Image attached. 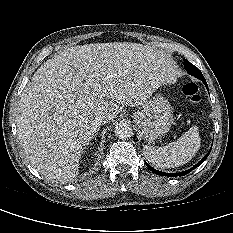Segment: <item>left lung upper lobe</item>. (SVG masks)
Masks as SVG:
<instances>
[{
	"mask_svg": "<svg viewBox=\"0 0 233 233\" xmlns=\"http://www.w3.org/2000/svg\"><path fill=\"white\" fill-rule=\"evenodd\" d=\"M184 68L190 75L200 80L205 79L200 70L186 59H184Z\"/></svg>",
	"mask_w": 233,
	"mask_h": 233,
	"instance_id": "left-lung-upper-lobe-1",
	"label": "left lung upper lobe"
}]
</instances>
